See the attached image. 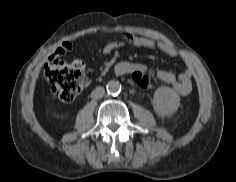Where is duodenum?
Here are the masks:
<instances>
[{"label":"duodenum","mask_w":236,"mask_h":182,"mask_svg":"<svg viewBox=\"0 0 236 182\" xmlns=\"http://www.w3.org/2000/svg\"><path fill=\"white\" fill-rule=\"evenodd\" d=\"M131 70V67H129V65H126V64H121L119 65L114 73L116 76H124V75H127Z\"/></svg>","instance_id":"obj_1"}]
</instances>
